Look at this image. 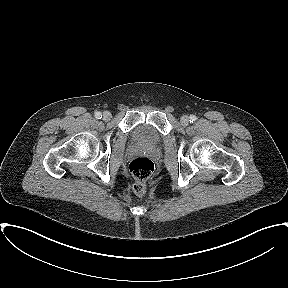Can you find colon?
<instances>
[{
	"label": "colon",
	"instance_id": "obj_1",
	"mask_svg": "<svg viewBox=\"0 0 288 288\" xmlns=\"http://www.w3.org/2000/svg\"><path fill=\"white\" fill-rule=\"evenodd\" d=\"M130 171L134 178L133 190L137 195L146 192V182L154 171L153 162L145 157H138L131 161Z\"/></svg>",
	"mask_w": 288,
	"mask_h": 288
}]
</instances>
